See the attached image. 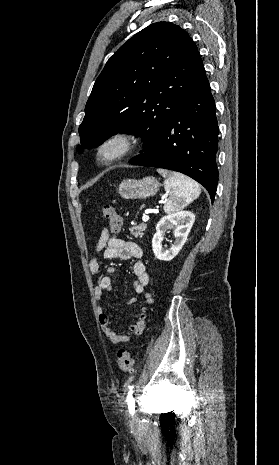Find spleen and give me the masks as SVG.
Masks as SVG:
<instances>
[{
  "label": "spleen",
  "mask_w": 279,
  "mask_h": 465,
  "mask_svg": "<svg viewBox=\"0 0 279 465\" xmlns=\"http://www.w3.org/2000/svg\"><path fill=\"white\" fill-rule=\"evenodd\" d=\"M158 172L165 178L164 188L169 195L164 204L165 213L176 212L199 197L201 189L193 179L164 169H159Z\"/></svg>",
  "instance_id": "obj_1"
}]
</instances>
